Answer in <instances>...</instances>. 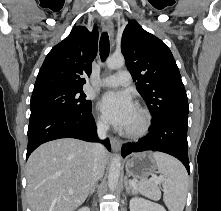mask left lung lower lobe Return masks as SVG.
Here are the masks:
<instances>
[{"label": "left lung lower lobe", "instance_id": "0a47b994", "mask_svg": "<svg viewBox=\"0 0 221 211\" xmlns=\"http://www.w3.org/2000/svg\"><path fill=\"white\" fill-rule=\"evenodd\" d=\"M188 114L174 113L152 121L149 134L136 143L122 146V156L132 152L160 151L179 159L190 171L188 159L187 127Z\"/></svg>", "mask_w": 221, "mask_h": 211}]
</instances>
